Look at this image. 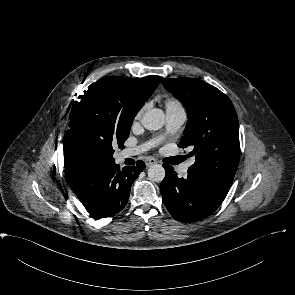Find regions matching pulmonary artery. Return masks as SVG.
<instances>
[{
    "label": "pulmonary artery",
    "mask_w": 295,
    "mask_h": 295,
    "mask_svg": "<svg viewBox=\"0 0 295 295\" xmlns=\"http://www.w3.org/2000/svg\"><path fill=\"white\" fill-rule=\"evenodd\" d=\"M186 119V113L185 110L182 107L174 108V109H168L166 111V128L169 133L176 132L181 125L184 123ZM154 143H148L141 145L136 148L127 149L124 152L125 157L133 156L140 154L144 151H146L148 148H150ZM188 164L182 165L178 171L182 176H186L188 174Z\"/></svg>",
    "instance_id": "1"
}]
</instances>
